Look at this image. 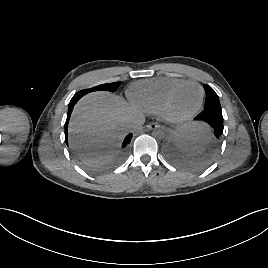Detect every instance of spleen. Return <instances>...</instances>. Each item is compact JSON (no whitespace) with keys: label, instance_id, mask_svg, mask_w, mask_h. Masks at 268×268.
I'll list each match as a JSON object with an SVG mask.
<instances>
[{"label":"spleen","instance_id":"obj_1","mask_svg":"<svg viewBox=\"0 0 268 268\" xmlns=\"http://www.w3.org/2000/svg\"><path fill=\"white\" fill-rule=\"evenodd\" d=\"M184 138L190 146L196 149L205 147L208 142V132L205 124L200 121L191 123L185 130Z\"/></svg>","mask_w":268,"mask_h":268}]
</instances>
